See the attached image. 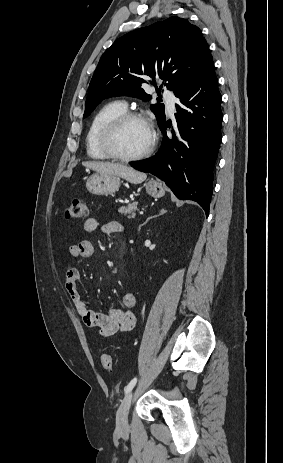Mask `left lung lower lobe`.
<instances>
[{
  "label": "left lung lower lobe",
  "instance_id": "0a47b994",
  "mask_svg": "<svg viewBox=\"0 0 283 463\" xmlns=\"http://www.w3.org/2000/svg\"><path fill=\"white\" fill-rule=\"evenodd\" d=\"M177 129L168 138L165 121L161 151L131 166L163 180L179 199L196 201L209 215L213 170L221 142V94L214 65L200 78L175 93Z\"/></svg>",
  "mask_w": 283,
  "mask_h": 463
}]
</instances>
